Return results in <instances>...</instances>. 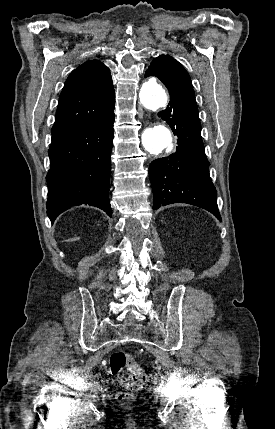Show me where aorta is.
<instances>
[{
  "label": "aorta",
  "instance_id": "obj_1",
  "mask_svg": "<svg viewBox=\"0 0 275 429\" xmlns=\"http://www.w3.org/2000/svg\"><path fill=\"white\" fill-rule=\"evenodd\" d=\"M139 98L141 104L152 111L163 108L167 104V94L156 79H150L142 85ZM141 139L145 150L152 155H158L164 149L169 152L173 148V137L170 130L164 125L145 129Z\"/></svg>",
  "mask_w": 275,
  "mask_h": 429
}]
</instances>
